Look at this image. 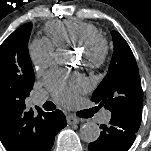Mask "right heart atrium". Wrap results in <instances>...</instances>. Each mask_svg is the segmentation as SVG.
Returning <instances> with one entry per match:
<instances>
[{"label": "right heart atrium", "instance_id": "d8ad5b80", "mask_svg": "<svg viewBox=\"0 0 151 151\" xmlns=\"http://www.w3.org/2000/svg\"><path fill=\"white\" fill-rule=\"evenodd\" d=\"M29 57L36 70L50 66L55 56V43L46 39H35L29 45Z\"/></svg>", "mask_w": 151, "mask_h": 151}]
</instances>
